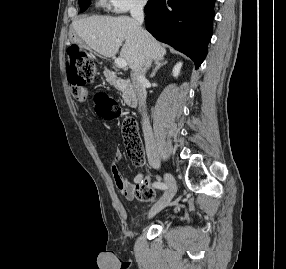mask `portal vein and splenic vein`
Wrapping results in <instances>:
<instances>
[{
  "instance_id": "18ae733b",
  "label": "portal vein and splenic vein",
  "mask_w": 286,
  "mask_h": 269,
  "mask_svg": "<svg viewBox=\"0 0 286 269\" xmlns=\"http://www.w3.org/2000/svg\"><path fill=\"white\" fill-rule=\"evenodd\" d=\"M115 64L120 68H126L128 65L127 61L123 58H117Z\"/></svg>"
}]
</instances>
